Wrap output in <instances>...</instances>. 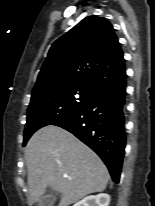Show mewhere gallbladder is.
I'll list each match as a JSON object with an SVG mask.
<instances>
[{"label": "gallbladder", "mask_w": 155, "mask_h": 206, "mask_svg": "<svg viewBox=\"0 0 155 206\" xmlns=\"http://www.w3.org/2000/svg\"><path fill=\"white\" fill-rule=\"evenodd\" d=\"M57 200L56 193L50 189L39 200L38 206H54Z\"/></svg>", "instance_id": "gallbladder-1"}]
</instances>
